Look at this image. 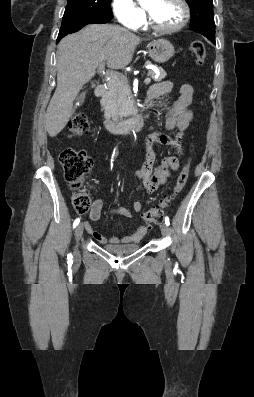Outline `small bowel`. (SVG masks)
<instances>
[{"instance_id":"c3829d8e","label":"small bowel","mask_w":254,"mask_h":397,"mask_svg":"<svg viewBox=\"0 0 254 397\" xmlns=\"http://www.w3.org/2000/svg\"><path fill=\"white\" fill-rule=\"evenodd\" d=\"M174 88L172 81H163L152 85L148 91V101L170 93ZM193 97V87L190 84H183L180 87V95L169 110L165 128L169 131L177 129L178 132L175 137L171 138L160 132L151 133L145 142L146 158L140 170L134 171V175L141 181L144 189L149 193H154L159 187L166 184L171 176V173L178 169L179 160L177 157L169 155L165 157L159 166L155 167L156 154L154 151L155 144L168 145L172 147L177 153L183 154L182 139L185 135V130L192 121L193 114L188 109ZM103 202L101 199L95 200L90 209V219L97 221L100 218ZM133 209L135 212L142 210L140 201L133 202ZM116 214L127 218L132 217L130 210L124 207H115L111 210L112 219ZM87 232L99 243L106 245H117L121 243H137L143 240L148 234L146 227H140L134 234L119 237H105L91 226L86 224Z\"/></svg>"}]
</instances>
